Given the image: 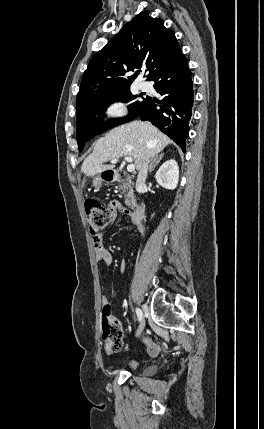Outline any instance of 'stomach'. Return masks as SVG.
<instances>
[{
	"label": "stomach",
	"instance_id": "1",
	"mask_svg": "<svg viewBox=\"0 0 264 429\" xmlns=\"http://www.w3.org/2000/svg\"><path fill=\"white\" fill-rule=\"evenodd\" d=\"M117 179V173L115 170H104L93 176L92 185L95 188L101 186L103 182L111 183Z\"/></svg>",
	"mask_w": 264,
	"mask_h": 429
}]
</instances>
